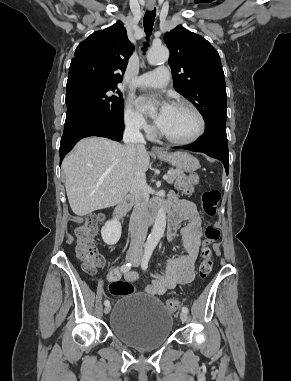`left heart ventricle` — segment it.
<instances>
[{
    "instance_id": "1",
    "label": "left heart ventricle",
    "mask_w": 291,
    "mask_h": 381,
    "mask_svg": "<svg viewBox=\"0 0 291 381\" xmlns=\"http://www.w3.org/2000/svg\"><path fill=\"white\" fill-rule=\"evenodd\" d=\"M198 126V118L191 110L173 107L160 130L171 137L185 139L193 136Z\"/></svg>"
}]
</instances>
